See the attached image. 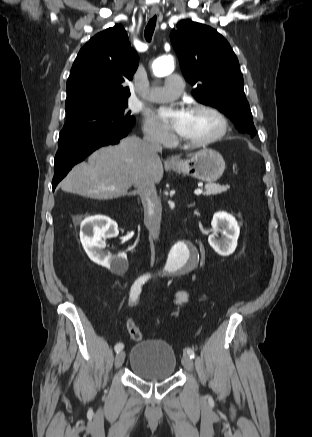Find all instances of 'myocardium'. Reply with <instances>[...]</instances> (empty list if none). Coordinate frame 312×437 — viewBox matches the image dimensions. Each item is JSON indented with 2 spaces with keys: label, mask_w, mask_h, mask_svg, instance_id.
<instances>
[{
  "label": "myocardium",
  "mask_w": 312,
  "mask_h": 437,
  "mask_svg": "<svg viewBox=\"0 0 312 437\" xmlns=\"http://www.w3.org/2000/svg\"><path fill=\"white\" fill-rule=\"evenodd\" d=\"M191 111L192 112H203V113H207V114L214 116L218 120L219 127L215 133H213L209 137L201 139V140L191 141V140L183 139L181 137L179 139V142L181 144L191 146V147H203V146H207L209 144H212L225 136V134L227 133L228 128H229V121H228V118L226 117V115L221 110H219L218 108H216L214 106L207 105V104H196L191 108Z\"/></svg>",
  "instance_id": "myocardium-1"
}]
</instances>
